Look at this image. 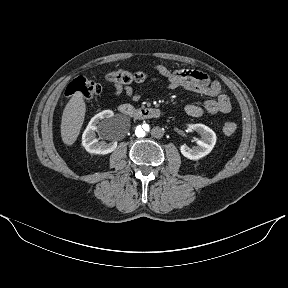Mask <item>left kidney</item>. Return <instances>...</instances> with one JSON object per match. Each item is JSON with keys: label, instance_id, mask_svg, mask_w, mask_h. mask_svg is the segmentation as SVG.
Here are the masks:
<instances>
[{"label": "left kidney", "instance_id": "left-kidney-1", "mask_svg": "<svg viewBox=\"0 0 288 288\" xmlns=\"http://www.w3.org/2000/svg\"><path fill=\"white\" fill-rule=\"evenodd\" d=\"M188 128L198 132L201 135V139L197 140V146L192 148L186 144L182 145L180 147L182 155L190 160H198L208 155L216 144L217 137L215 132L203 124H190Z\"/></svg>", "mask_w": 288, "mask_h": 288}]
</instances>
